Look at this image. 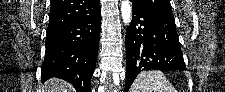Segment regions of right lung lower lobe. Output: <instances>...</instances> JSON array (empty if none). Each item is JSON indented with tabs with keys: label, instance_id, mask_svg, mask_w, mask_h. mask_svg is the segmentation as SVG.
I'll list each match as a JSON object with an SVG mask.
<instances>
[{
	"label": "right lung lower lobe",
	"instance_id": "right-lung-lower-lobe-1",
	"mask_svg": "<svg viewBox=\"0 0 225 92\" xmlns=\"http://www.w3.org/2000/svg\"><path fill=\"white\" fill-rule=\"evenodd\" d=\"M101 29V13L47 30L42 81L61 78L77 92H90Z\"/></svg>",
	"mask_w": 225,
	"mask_h": 92
}]
</instances>
